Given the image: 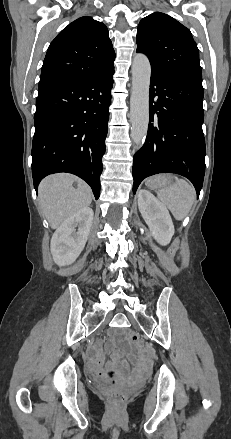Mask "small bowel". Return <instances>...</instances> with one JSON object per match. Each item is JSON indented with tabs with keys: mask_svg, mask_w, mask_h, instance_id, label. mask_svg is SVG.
Listing matches in <instances>:
<instances>
[{
	"mask_svg": "<svg viewBox=\"0 0 231 439\" xmlns=\"http://www.w3.org/2000/svg\"><path fill=\"white\" fill-rule=\"evenodd\" d=\"M92 359L95 361V366H96V370L98 375L103 376L106 373H109L110 375H115L116 374V370L114 368H109L107 371H105L102 367H103V363H104V356L103 353L99 350L97 352H95L92 355ZM119 359V354H116L114 356V363H117V360ZM139 369L142 372H147L149 370V366L146 363H141L139 365Z\"/></svg>",
	"mask_w": 231,
	"mask_h": 439,
	"instance_id": "obj_1",
	"label": "small bowel"
}]
</instances>
